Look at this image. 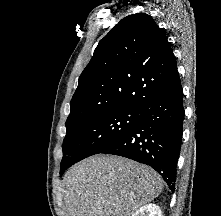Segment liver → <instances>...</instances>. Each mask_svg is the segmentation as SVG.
Instances as JSON below:
<instances>
[{"instance_id": "1", "label": "liver", "mask_w": 221, "mask_h": 216, "mask_svg": "<svg viewBox=\"0 0 221 216\" xmlns=\"http://www.w3.org/2000/svg\"><path fill=\"white\" fill-rule=\"evenodd\" d=\"M152 168L127 158L89 157L63 178L66 216H131L163 190Z\"/></svg>"}]
</instances>
